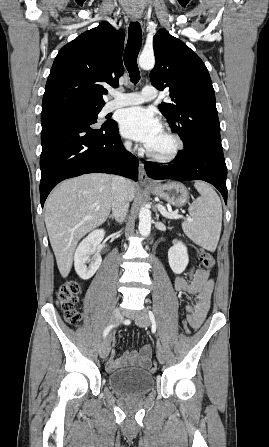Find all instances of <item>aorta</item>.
Instances as JSON below:
<instances>
[{
  "mask_svg": "<svg viewBox=\"0 0 269 447\" xmlns=\"http://www.w3.org/2000/svg\"><path fill=\"white\" fill-rule=\"evenodd\" d=\"M139 66L142 70H152L155 66L154 54H141L139 58ZM138 229L141 235H149L151 231V214L147 208H141L139 212Z\"/></svg>",
  "mask_w": 269,
  "mask_h": 447,
  "instance_id": "obj_1",
  "label": "aorta"
}]
</instances>
